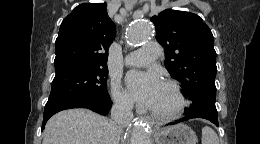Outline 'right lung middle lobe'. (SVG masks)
I'll return each instance as SVG.
<instances>
[{
    "label": "right lung middle lobe",
    "instance_id": "dd1d6c3e",
    "mask_svg": "<svg viewBox=\"0 0 260 144\" xmlns=\"http://www.w3.org/2000/svg\"><path fill=\"white\" fill-rule=\"evenodd\" d=\"M46 106L63 102H90L110 97L107 92V66L65 65L55 68Z\"/></svg>",
    "mask_w": 260,
    "mask_h": 144
}]
</instances>
